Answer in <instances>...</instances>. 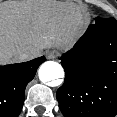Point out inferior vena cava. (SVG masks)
Returning a JSON list of instances; mask_svg holds the SVG:
<instances>
[{"label": "inferior vena cava", "instance_id": "1", "mask_svg": "<svg viewBox=\"0 0 117 117\" xmlns=\"http://www.w3.org/2000/svg\"><path fill=\"white\" fill-rule=\"evenodd\" d=\"M31 54H33V51L32 50H27V51H25L24 53H22V57H28V56H30Z\"/></svg>", "mask_w": 117, "mask_h": 117}]
</instances>
